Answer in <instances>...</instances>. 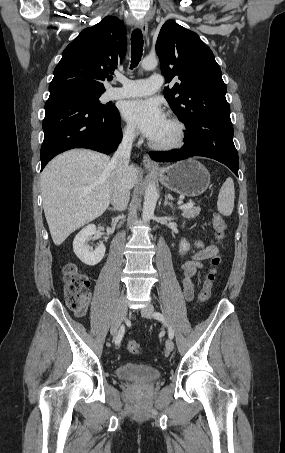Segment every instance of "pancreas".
Masks as SVG:
<instances>
[{
	"instance_id": "pancreas-1",
	"label": "pancreas",
	"mask_w": 285,
	"mask_h": 453,
	"mask_svg": "<svg viewBox=\"0 0 285 453\" xmlns=\"http://www.w3.org/2000/svg\"><path fill=\"white\" fill-rule=\"evenodd\" d=\"M201 211L200 207H189V208H184L182 209V216L187 219H193L196 218Z\"/></svg>"
}]
</instances>
